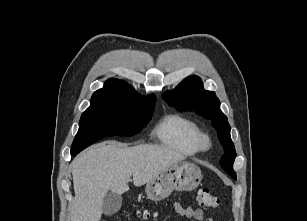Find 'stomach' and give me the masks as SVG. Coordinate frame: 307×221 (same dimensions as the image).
<instances>
[{
  "mask_svg": "<svg viewBox=\"0 0 307 221\" xmlns=\"http://www.w3.org/2000/svg\"><path fill=\"white\" fill-rule=\"evenodd\" d=\"M201 180V170L196 164L181 161L172 164L147 182L145 192L149 199L160 201L167 198L174 190H194Z\"/></svg>",
  "mask_w": 307,
  "mask_h": 221,
  "instance_id": "1",
  "label": "stomach"
}]
</instances>
